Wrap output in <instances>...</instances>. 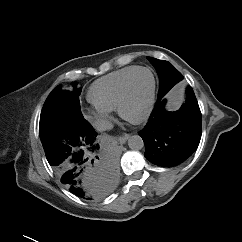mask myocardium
<instances>
[{
    "instance_id": "myocardium-1",
    "label": "myocardium",
    "mask_w": 242,
    "mask_h": 242,
    "mask_svg": "<svg viewBox=\"0 0 242 242\" xmlns=\"http://www.w3.org/2000/svg\"><path fill=\"white\" fill-rule=\"evenodd\" d=\"M141 71H147L150 73V75L152 77V88H151L150 96H149V99H148V102H147V105H146L144 111L136 117H131V116L127 115V113L125 112V105H126V101H127L128 95H129L131 83H132L134 77L136 76V74ZM156 91H157V79H156L154 72L150 68H147V67H138L136 70H134L129 75V77L126 79V81L122 87V90H121V93H120V96L118 99V105H117V111H118L120 117L132 124H140V123L146 121L149 118V116L151 115L152 110L154 108L155 99H156Z\"/></svg>"
}]
</instances>
